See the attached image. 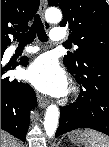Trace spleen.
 <instances>
[{"instance_id": "3e777b00", "label": "spleen", "mask_w": 109, "mask_h": 147, "mask_svg": "<svg viewBox=\"0 0 109 147\" xmlns=\"http://www.w3.org/2000/svg\"><path fill=\"white\" fill-rule=\"evenodd\" d=\"M85 137V147H109V137L100 132L86 130Z\"/></svg>"}]
</instances>
